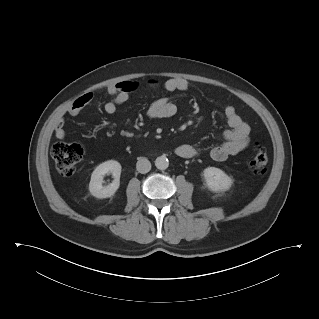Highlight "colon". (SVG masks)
I'll return each instance as SVG.
<instances>
[{"instance_id":"obj_1","label":"colon","mask_w":319,"mask_h":319,"mask_svg":"<svg viewBox=\"0 0 319 319\" xmlns=\"http://www.w3.org/2000/svg\"><path fill=\"white\" fill-rule=\"evenodd\" d=\"M136 85L131 84L128 89L135 90ZM52 158L58 172L62 176H71L75 173L77 164L81 161L83 150L80 145L71 142H58L53 145L51 150ZM268 155L266 151L256 146L253 149L251 168L256 174H264L267 170Z\"/></svg>"}]
</instances>
